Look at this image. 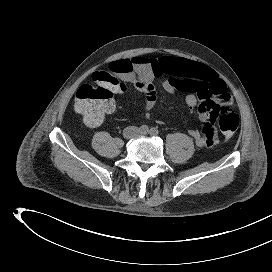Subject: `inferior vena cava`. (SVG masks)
Masks as SVG:
<instances>
[{
	"label": "inferior vena cava",
	"mask_w": 272,
	"mask_h": 272,
	"mask_svg": "<svg viewBox=\"0 0 272 272\" xmlns=\"http://www.w3.org/2000/svg\"><path fill=\"white\" fill-rule=\"evenodd\" d=\"M125 130L129 132L130 130H136V127H127Z\"/></svg>",
	"instance_id": "inferior-vena-cava-1"
}]
</instances>
